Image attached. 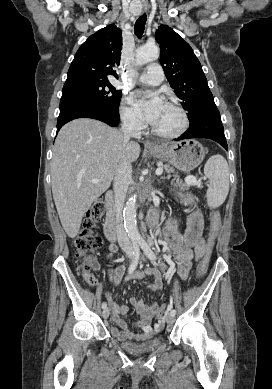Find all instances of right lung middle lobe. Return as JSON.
I'll return each mask as SVG.
<instances>
[{
	"label": "right lung middle lobe",
	"mask_w": 272,
	"mask_h": 389,
	"mask_svg": "<svg viewBox=\"0 0 272 389\" xmlns=\"http://www.w3.org/2000/svg\"><path fill=\"white\" fill-rule=\"evenodd\" d=\"M121 96L122 92L116 90L108 80H85L64 84L61 99L84 98L118 109Z\"/></svg>",
	"instance_id": "obj_1"
}]
</instances>
